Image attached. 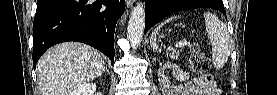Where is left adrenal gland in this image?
Instances as JSON below:
<instances>
[{
  "instance_id": "a2214340",
  "label": "left adrenal gland",
  "mask_w": 277,
  "mask_h": 95,
  "mask_svg": "<svg viewBox=\"0 0 277 95\" xmlns=\"http://www.w3.org/2000/svg\"><path fill=\"white\" fill-rule=\"evenodd\" d=\"M156 61V59L155 58H153V63Z\"/></svg>"
}]
</instances>
